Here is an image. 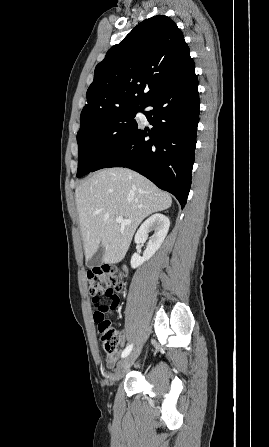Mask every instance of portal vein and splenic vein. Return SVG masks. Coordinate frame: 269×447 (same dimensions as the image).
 <instances>
[{"label": "portal vein and splenic vein", "mask_w": 269, "mask_h": 447, "mask_svg": "<svg viewBox=\"0 0 269 447\" xmlns=\"http://www.w3.org/2000/svg\"><path fill=\"white\" fill-rule=\"evenodd\" d=\"M116 222L117 224H131V220H124L123 216H118V218H116Z\"/></svg>", "instance_id": "obj_1"}]
</instances>
